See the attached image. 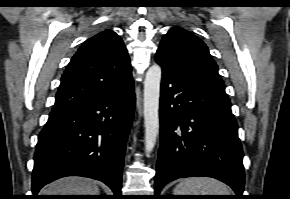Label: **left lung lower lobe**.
<instances>
[{
	"instance_id": "0a47b994",
	"label": "left lung lower lobe",
	"mask_w": 290,
	"mask_h": 199,
	"mask_svg": "<svg viewBox=\"0 0 290 199\" xmlns=\"http://www.w3.org/2000/svg\"><path fill=\"white\" fill-rule=\"evenodd\" d=\"M155 60L162 67L156 196L173 180L206 176L243 198V150L227 94L171 70L157 55Z\"/></svg>"
}]
</instances>
